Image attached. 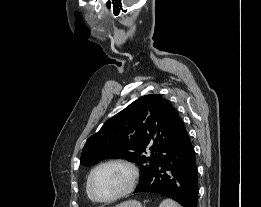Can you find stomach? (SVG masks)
<instances>
[{
    "mask_svg": "<svg viewBox=\"0 0 261 207\" xmlns=\"http://www.w3.org/2000/svg\"><path fill=\"white\" fill-rule=\"evenodd\" d=\"M115 207H144L139 201L136 200H129L122 202Z\"/></svg>",
    "mask_w": 261,
    "mask_h": 207,
    "instance_id": "stomach-1",
    "label": "stomach"
}]
</instances>
